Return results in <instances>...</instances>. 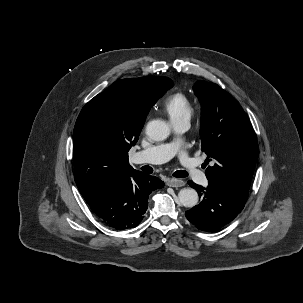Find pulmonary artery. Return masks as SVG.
<instances>
[{"label": "pulmonary artery", "instance_id": "1", "mask_svg": "<svg viewBox=\"0 0 303 303\" xmlns=\"http://www.w3.org/2000/svg\"><path fill=\"white\" fill-rule=\"evenodd\" d=\"M189 127V121H182L174 125V129L178 133L185 132ZM179 155L181 164L186 168L191 178L201 184H207L205 174L199 169L195 159L189 157L187 154L180 152V141L175 140L170 143L153 146L149 149L137 152L133 156V162L136 164H161L175 155Z\"/></svg>", "mask_w": 303, "mask_h": 303}]
</instances>
